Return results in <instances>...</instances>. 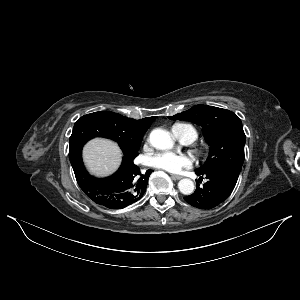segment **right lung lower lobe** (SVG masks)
<instances>
[{
    "label": "right lung lower lobe",
    "instance_id": "obj_1",
    "mask_svg": "<svg viewBox=\"0 0 300 300\" xmlns=\"http://www.w3.org/2000/svg\"><path fill=\"white\" fill-rule=\"evenodd\" d=\"M78 185L96 204L109 209L125 208L142 198L153 170L142 174L137 165L126 157L112 176L98 179L86 171L82 158L71 163Z\"/></svg>",
    "mask_w": 300,
    "mask_h": 300
}]
</instances>
